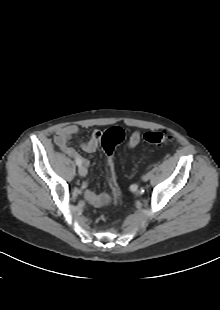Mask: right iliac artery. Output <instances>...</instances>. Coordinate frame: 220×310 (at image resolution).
<instances>
[{
  "label": "right iliac artery",
  "instance_id": "obj_1",
  "mask_svg": "<svg viewBox=\"0 0 220 310\" xmlns=\"http://www.w3.org/2000/svg\"><path fill=\"white\" fill-rule=\"evenodd\" d=\"M75 162L78 166H81L82 165V160L80 158H76L75 159Z\"/></svg>",
  "mask_w": 220,
  "mask_h": 310
}]
</instances>
